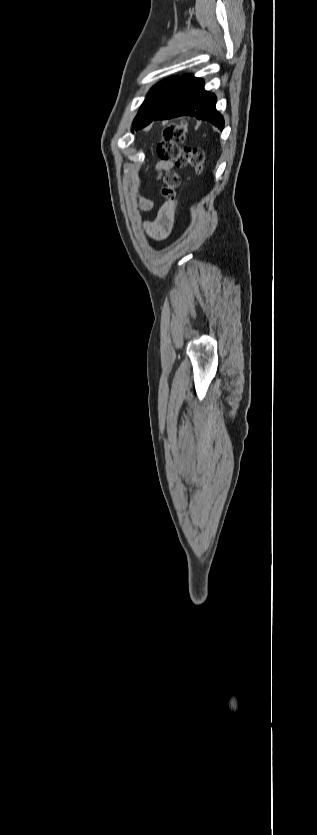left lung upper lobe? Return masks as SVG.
I'll return each mask as SVG.
<instances>
[{
    "label": "left lung upper lobe",
    "mask_w": 317,
    "mask_h": 835,
    "mask_svg": "<svg viewBox=\"0 0 317 835\" xmlns=\"http://www.w3.org/2000/svg\"><path fill=\"white\" fill-rule=\"evenodd\" d=\"M177 81L178 78H170L156 84L151 89L133 121V128L140 129L147 119L155 115L170 96Z\"/></svg>",
    "instance_id": "left-lung-upper-lobe-1"
}]
</instances>
